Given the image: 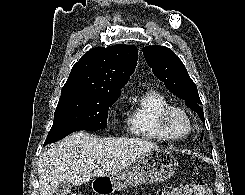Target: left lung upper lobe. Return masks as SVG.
Instances as JSON below:
<instances>
[{
	"instance_id": "obj_1",
	"label": "left lung upper lobe",
	"mask_w": 245,
	"mask_h": 195,
	"mask_svg": "<svg viewBox=\"0 0 245 195\" xmlns=\"http://www.w3.org/2000/svg\"><path fill=\"white\" fill-rule=\"evenodd\" d=\"M142 51L154 75L164 82L173 94L183 99L187 106L197 112L204 122L203 109L200 107L202 103L196 84L189 77L182 61L171 49L164 46H146Z\"/></svg>"
}]
</instances>
